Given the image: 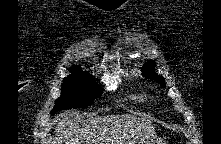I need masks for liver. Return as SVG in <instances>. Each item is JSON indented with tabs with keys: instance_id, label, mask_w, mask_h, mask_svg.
Instances as JSON below:
<instances>
[{
	"instance_id": "6515ba94",
	"label": "liver",
	"mask_w": 221,
	"mask_h": 144,
	"mask_svg": "<svg viewBox=\"0 0 221 144\" xmlns=\"http://www.w3.org/2000/svg\"><path fill=\"white\" fill-rule=\"evenodd\" d=\"M53 144H136L154 135L150 121L134 115H107L82 119L73 111L56 116Z\"/></svg>"
}]
</instances>
